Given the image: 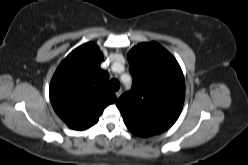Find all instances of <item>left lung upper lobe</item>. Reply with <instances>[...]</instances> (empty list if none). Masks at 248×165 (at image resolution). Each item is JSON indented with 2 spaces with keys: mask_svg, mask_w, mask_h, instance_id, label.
I'll list each match as a JSON object with an SVG mask.
<instances>
[{
  "mask_svg": "<svg viewBox=\"0 0 248 165\" xmlns=\"http://www.w3.org/2000/svg\"><path fill=\"white\" fill-rule=\"evenodd\" d=\"M128 61L133 87L116 102L126 126L149 134L168 130L178 119L185 98L178 62L156 42L132 48Z\"/></svg>",
  "mask_w": 248,
  "mask_h": 165,
  "instance_id": "1",
  "label": "left lung upper lobe"
}]
</instances>
